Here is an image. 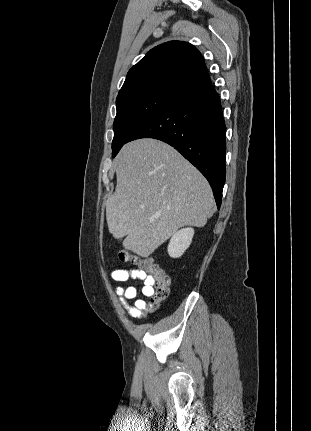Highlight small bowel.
I'll list each match as a JSON object with an SVG mask.
<instances>
[{
  "mask_svg": "<svg viewBox=\"0 0 311 431\" xmlns=\"http://www.w3.org/2000/svg\"><path fill=\"white\" fill-rule=\"evenodd\" d=\"M111 277L116 282H126L130 279L139 280L143 283L141 289L143 296H151V279L143 270L121 267L115 269L111 273ZM115 292L118 296L119 303L130 316L137 320H141L145 317L146 312L150 309V304L144 299L137 298L138 290L135 286H119L116 288Z\"/></svg>",
  "mask_w": 311,
  "mask_h": 431,
  "instance_id": "obj_1",
  "label": "small bowel"
}]
</instances>
